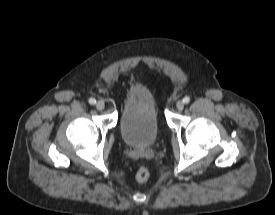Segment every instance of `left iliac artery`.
Returning <instances> with one entry per match:
<instances>
[{
	"label": "left iliac artery",
	"instance_id": "44dca946",
	"mask_svg": "<svg viewBox=\"0 0 275 215\" xmlns=\"http://www.w3.org/2000/svg\"><path fill=\"white\" fill-rule=\"evenodd\" d=\"M183 102H184L185 104L189 103V102H190V97L185 96V97L183 98Z\"/></svg>",
	"mask_w": 275,
	"mask_h": 215
}]
</instances>
